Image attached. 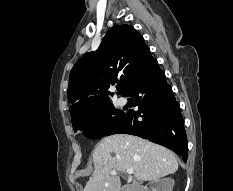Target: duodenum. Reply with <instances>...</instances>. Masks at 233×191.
Here are the masks:
<instances>
[{
	"label": "duodenum",
	"mask_w": 233,
	"mask_h": 191,
	"mask_svg": "<svg viewBox=\"0 0 233 191\" xmlns=\"http://www.w3.org/2000/svg\"><path fill=\"white\" fill-rule=\"evenodd\" d=\"M123 191H142V189L136 185H130L124 188Z\"/></svg>",
	"instance_id": "1"
}]
</instances>
